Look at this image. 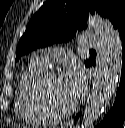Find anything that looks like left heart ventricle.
<instances>
[{"mask_svg": "<svg viewBox=\"0 0 125 128\" xmlns=\"http://www.w3.org/2000/svg\"><path fill=\"white\" fill-rule=\"evenodd\" d=\"M43 96L46 103L54 110H62L69 107L73 100L66 92L60 76L51 78L43 87Z\"/></svg>", "mask_w": 125, "mask_h": 128, "instance_id": "1", "label": "left heart ventricle"}]
</instances>
